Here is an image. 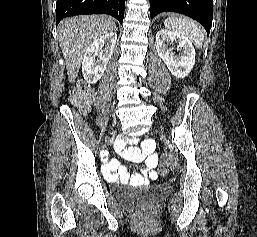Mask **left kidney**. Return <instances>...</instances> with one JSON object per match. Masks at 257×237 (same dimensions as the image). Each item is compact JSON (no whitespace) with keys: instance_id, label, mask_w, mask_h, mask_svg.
<instances>
[{"instance_id":"left-kidney-1","label":"left kidney","mask_w":257,"mask_h":237,"mask_svg":"<svg viewBox=\"0 0 257 237\" xmlns=\"http://www.w3.org/2000/svg\"><path fill=\"white\" fill-rule=\"evenodd\" d=\"M175 44L179 54L173 52ZM156 50L169 71L177 78L186 77L195 64V49L186 37L169 30H160L156 34Z\"/></svg>"}]
</instances>
